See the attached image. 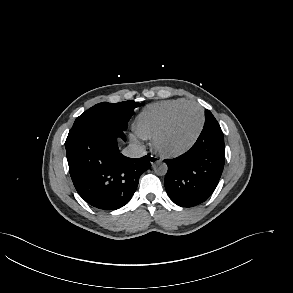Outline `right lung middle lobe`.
I'll return each instance as SVG.
<instances>
[{"label":"right lung middle lobe","mask_w":293,"mask_h":293,"mask_svg":"<svg viewBox=\"0 0 293 293\" xmlns=\"http://www.w3.org/2000/svg\"><path fill=\"white\" fill-rule=\"evenodd\" d=\"M140 104L133 100L120 103L102 102L81 114L74 122L65 142V147L91 133L103 129L125 131L134 108Z\"/></svg>","instance_id":"right-lung-middle-lobe-1"}]
</instances>
